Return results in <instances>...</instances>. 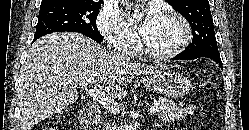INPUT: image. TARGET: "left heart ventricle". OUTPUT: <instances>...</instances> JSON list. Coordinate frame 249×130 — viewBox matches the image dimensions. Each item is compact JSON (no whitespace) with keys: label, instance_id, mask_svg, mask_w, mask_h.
<instances>
[{"label":"left heart ventricle","instance_id":"left-heart-ventricle-1","mask_svg":"<svg viewBox=\"0 0 249 130\" xmlns=\"http://www.w3.org/2000/svg\"><path fill=\"white\" fill-rule=\"evenodd\" d=\"M182 34V26L176 19L159 15L142 38L150 50L163 52L173 48L180 41Z\"/></svg>","mask_w":249,"mask_h":130}]
</instances>
